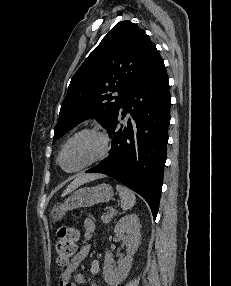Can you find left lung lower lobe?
<instances>
[{"label":"left lung lower lobe","instance_id":"left-lung-lower-lobe-1","mask_svg":"<svg viewBox=\"0 0 231 286\" xmlns=\"http://www.w3.org/2000/svg\"><path fill=\"white\" fill-rule=\"evenodd\" d=\"M171 96L162 58L122 97L108 126L113 136L109 156L86 172L106 174L136 193L149 204L156 218L166 161ZM120 109L122 111L120 112ZM131 118L119 125V115Z\"/></svg>","mask_w":231,"mask_h":286}]
</instances>
